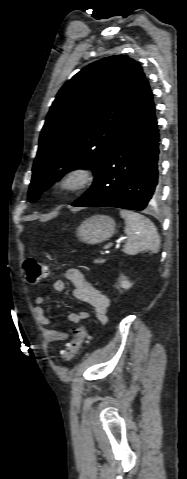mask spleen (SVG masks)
<instances>
[{"mask_svg":"<svg viewBox=\"0 0 187 479\" xmlns=\"http://www.w3.org/2000/svg\"><path fill=\"white\" fill-rule=\"evenodd\" d=\"M120 216L125 220V233L129 237L123 248L124 253L136 255L141 252H159L160 238L149 218L129 210H121Z\"/></svg>","mask_w":187,"mask_h":479,"instance_id":"3e777b00","label":"spleen"}]
</instances>
